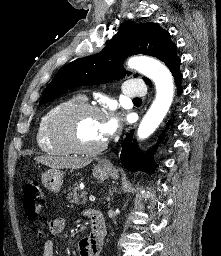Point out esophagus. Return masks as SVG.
I'll return each instance as SVG.
<instances>
[{
	"label": "esophagus",
	"instance_id": "1",
	"mask_svg": "<svg viewBox=\"0 0 221 256\" xmlns=\"http://www.w3.org/2000/svg\"><path fill=\"white\" fill-rule=\"evenodd\" d=\"M104 166H106V167H112V164H111V163H105Z\"/></svg>",
	"mask_w": 221,
	"mask_h": 256
}]
</instances>
